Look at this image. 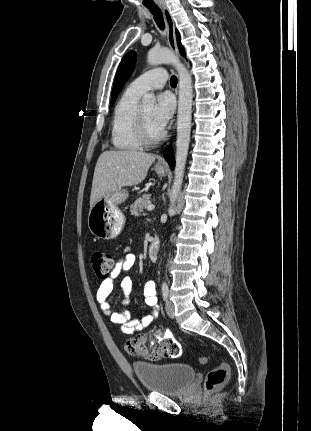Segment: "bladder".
<instances>
[{"mask_svg": "<svg viewBox=\"0 0 311 431\" xmlns=\"http://www.w3.org/2000/svg\"><path fill=\"white\" fill-rule=\"evenodd\" d=\"M133 372L149 392L175 395L184 392L195 378L194 369L184 363L133 364Z\"/></svg>", "mask_w": 311, "mask_h": 431, "instance_id": "bladder-1", "label": "bladder"}]
</instances>
